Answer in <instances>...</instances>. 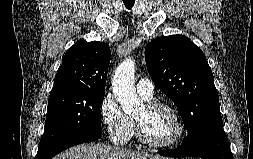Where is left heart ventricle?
Wrapping results in <instances>:
<instances>
[{"mask_svg":"<svg viewBox=\"0 0 253 159\" xmlns=\"http://www.w3.org/2000/svg\"><path fill=\"white\" fill-rule=\"evenodd\" d=\"M146 136L154 142H168L177 133L173 115L165 109H149L146 105L136 114Z\"/></svg>","mask_w":253,"mask_h":159,"instance_id":"obj_1","label":"left heart ventricle"}]
</instances>
